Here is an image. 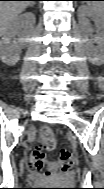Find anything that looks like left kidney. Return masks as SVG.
<instances>
[{
    "label": "left kidney",
    "instance_id": "obj_1",
    "mask_svg": "<svg viewBox=\"0 0 104 189\" xmlns=\"http://www.w3.org/2000/svg\"><path fill=\"white\" fill-rule=\"evenodd\" d=\"M86 17L92 18L99 29L103 28L104 23V15L103 10L101 11H94L89 7L82 6L79 9V22L83 28L88 26V22ZM98 46L94 48L93 51L88 52V59L90 62L100 65L103 63L104 60V49H103V37L99 35L96 39Z\"/></svg>",
    "mask_w": 104,
    "mask_h": 189
}]
</instances>
